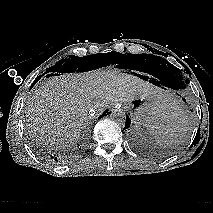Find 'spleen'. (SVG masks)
<instances>
[{
	"mask_svg": "<svg viewBox=\"0 0 213 213\" xmlns=\"http://www.w3.org/2000/svg\"><path fill=\"white\" fill-rule=\"evenodd\" d=\"M186 122V112L174 101L168 103L163 111L157 114L155 122L146 127L157 143L169 145L184 131Z\"/></svg>",
	"mask_w": 213,
	"mask_h": 213,
	"instance_id": "1",
	"label": "spleen"
}]
</instances>
